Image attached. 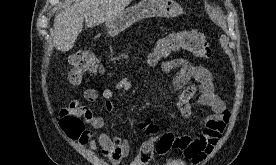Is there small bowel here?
<instances>
[{"label": "small bowel", "mask_w": 276, "mask_h": 165, "mask_svg": "<svg viewBox=\"0 0 276 165\" xmlns=\"http://www.w3.org/2000/svg\"><path fill=\"white\" fill-rule=\"evenodd\" d=\"M164 73L178 70L172 84L176 91H180L177 107L181 116L188 119L192 115V100L197 97V106L210 107L212 113L201 119L202 131L199 135H180L166 132L158 137L144 141L138 148L133 160L125 164L123 160L130 153V143L126 139L112 138L105 133L95 135L92 129L104 126L102 118L95 116L86 106L81 105L79 99H74L67 107L60 110V119L67 117L79 119L83 129L77 138L81 145H88L92 150L99 149L112 165H148L154 153L165 155L170 152H181L192 165L202 163L218 144L226 125L230 119V112L225 103L215 91V78L213 74L201 65L191 63L183 58H172L162 62ZM191 82V83H190ZM132 88L131 81L123 77L115 84V90L125 92ZM105 100V107L113 111L112 98L114 90L105 88L101 94L94 88L83 92L87 102H95L99 96ZM85 126H88L85 127Z\"/></svg>", "instance_id": "1"}]
</instances>
